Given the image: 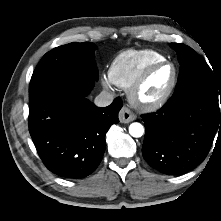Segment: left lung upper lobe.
Returning a JSON list of instances; mask_svg holds the SVG:
<instances>
[{"label": "left lung upper lobe", "instance_id": "5c2ea615", "mask_svg": "<svg viewBox=\"0 0 221 221\" xmlns=\"http://www.w3.org/2000/svg\"><path fill=\"white\" fill-rule=\"evenodd\" d=\"M178 54L180 73L174 92L184 89L198 88L205 90L217 98L221 97V78L214 75L198 54L190 47L171 43Z\"/></svg>", "mask_w": 221, "mask_h": 221}]
</instances>
